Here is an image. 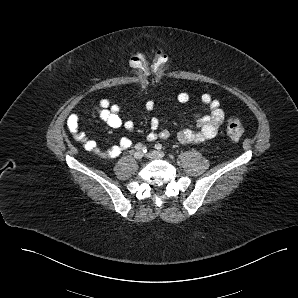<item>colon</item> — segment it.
<instances>
[{
  "label": "colon",
  "mask_w": 298,
  "mask_h": 298,
  "mask_svg": "<svg viewBox=\"0 0 298 298\" xmlns=\"http://www.w3.org/2000/svg\"><path fill=\"white\" fill-rule=\"evenodd\" d=\"M132 67L139 73L142 88L147 84L151 75L160 78L167 63V56L162 50H154L150 54L138 52L130 59ZM228 137L238 141L244 133V127L239 119L230 118L226 124Z\"/></svg>",
  "instance_id": "5ec220e1"
}]
</instances>
